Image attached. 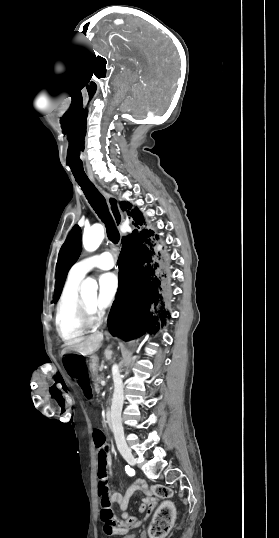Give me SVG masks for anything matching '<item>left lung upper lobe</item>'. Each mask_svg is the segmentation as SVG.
Instances as JSON below:
<instances>
[{"label": "left lung upper lobe", "mask_w": 279, "mask_h": 538, "mask_svg": "<svg viewBox=\"0 0 279 538\" xmlns=\"http://www.w3.org/2000/svg\"><path fill=\"white\" fill-rule=\"evenodd\" d=\"M81 253V229L75 225L65 243L62 245L56 265V283L54 300L56 302L62 292L67 273L77 261Z\"/></svg>", "instance_id": "obj_1"}]
</instances>
